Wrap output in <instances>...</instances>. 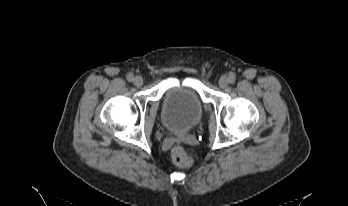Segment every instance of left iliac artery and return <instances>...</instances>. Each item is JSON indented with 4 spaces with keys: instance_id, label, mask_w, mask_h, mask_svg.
<instances>
[{
    "instance_id": "obj_1",
    "label": "left iliac artery",
    "mask_w": 348,
    "mask_h": 206,
    "mask_svg": "<svg viewBox=\"0 0 348 206\" xmlns=\"http://www.w3.org/2000/svg\"><path fill=\"white\" fill-rule=\"evenodd\" d=\"M228 80H229V83H231V84H233V83H235V76L234 75H230L229 76V78H228Z\"/></svg>"
}]
</instances>
